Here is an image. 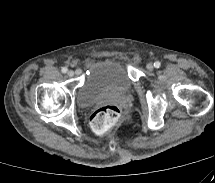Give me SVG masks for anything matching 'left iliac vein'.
I'll return each instance as SVG.
<instances>
[{"label":"left iliac vein","mask_w":215,"mask_h":183,"mask_svg":"<svg viewBox=\"0 0 215 183\" xmlns=\"http://www.w3.org/2000/svg\"><path fill=\"white\" fill-rule=\"evenodd\" d=\"M147 70L152 71L154 69V65L152 63H148L146 65Z\"/></svg>","instance_id":"obj_1"}]
</instances>
